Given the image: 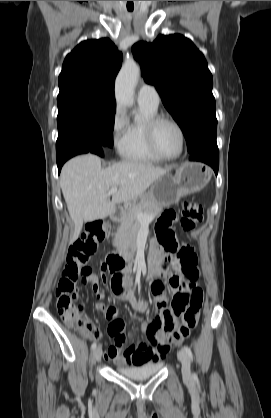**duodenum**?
Returning a JSON list of instances; mask_svg holds the SVG:
<instances>
[{
  "label": "duodenum",
  "instance_id": "obj_1",
  "mask_svg": "<svg viewBox=\"0 0 271 418\" xmlns=\"http://www.w3.org/2000/svg\"><path fill=\"white\" fill-rule=\"evenodd\" d=\"M122 218V213L120 211H115L111 214V219L113 221H120ZM107 263L110 271L116 267H123L127 271L132 267V257L128 253H111L107 256Z\"/></svg>",
  "mask_w": 271,
  "mask_h": 418
}]
</instances>
